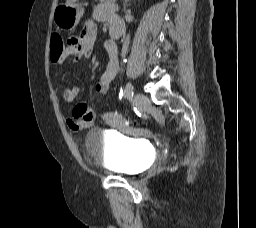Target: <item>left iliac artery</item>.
<instances>
[{
    "label": "left iliac artery",
    "instance_id": "left-iliac-artery-1",
    "mask_svg": "<svg viewBox=\"0 0 256 228\" xmlns=\"http://www.w3.org/2000/svg\"><path fill=\"white\" fill-rule=\"evenodd\" d=\"M124 89H125V92L123 93V96L128 99H132L133 94H134V87H133L132 83L128 82Z\"/></svg>",
    "mask_w": 256,
    "mask_h": 228
}]
</instances>
